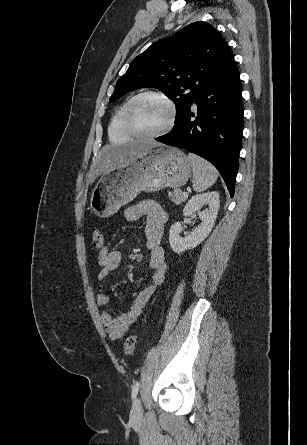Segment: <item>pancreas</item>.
Returning a JSON list of instances; mask_svg holds the SVG:
<instances>
[{
  "label": "pancreas",
  "mask_w": 307,
  "mask_h": 445,
  "mask_svg": "<svg viewBox=\"0 0 307 445\" xmlns=\"http://www.w3.org/2000/svg\"><path fill=\"white\" fill-rule=\"evenodd\" d=\"M169 196L175 204H181L186 200L187 196H183V192H181V188H174V190H168Z\"/></svg>",
  "instance_id": "1"
}]
</instances>
